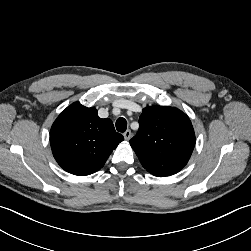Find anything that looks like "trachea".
Returning <instances> with one entry per match:
<instances>
[{"label":"trachea","mask_w":251,"mask_h":251,"mask_svg":"<svg viewBox=\"0 0 251 251\" xmlns=\"http://www.w3.org/2000/svg\"><path fill=\"white\" fill-rule=\"evenodd\" d=\"M116 129L118 132H125L127 129V121L125 118L120 117L116 121Z\"/></svg>","instance_id":"3493384b"}]
</instances>
